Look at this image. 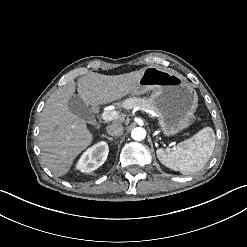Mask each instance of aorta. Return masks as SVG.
<instances>
[{
    "instance_id": "762f6f07",
    "label": "aorta",
    "mask_w": 247,
    "mask_h": 247,
    "mask_svg": "<svg viewBox=\"0 0 247 247\" xmlns=\"http://www.w3.org/2000/svg\"><path fill=\"white\" fill-rule=\"evenodd\" d=\"M131 136L136 141H141L146 136V131L142 127H136L131 131Z\"/></svg>"
}]
</instances>
